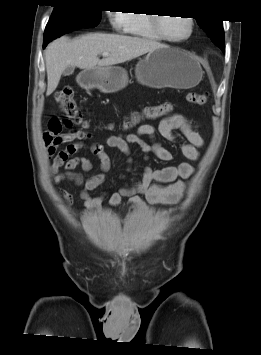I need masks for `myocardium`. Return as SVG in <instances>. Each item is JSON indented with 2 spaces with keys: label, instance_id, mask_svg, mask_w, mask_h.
<instances>
[{
  "label": "myocardium",
  "instance_id": "1",
  "mask_svg": "<svg viewBox=\"0 0 261 355\" xmlns=\"http://www.w3.org/2000/svg\"><path fill=\"white\" fill-rule=\"evenodd\" d=\"M186 18L188 19V22L190 25V30H189L188 35H186L185 37L179 38V39H173V38H170L164 34V32L162 30V25H161L162 18H160L158 15L157 16L152 15V25H153L154 31L160 37V39L170 42V43H181V42H184V41L190 39L192 37V35L194 33V29H195V20L193 19V17L186 16Z\"/></svg>",
  "mask_w": 261,
  "mask_h": 355
}]
</instances>
